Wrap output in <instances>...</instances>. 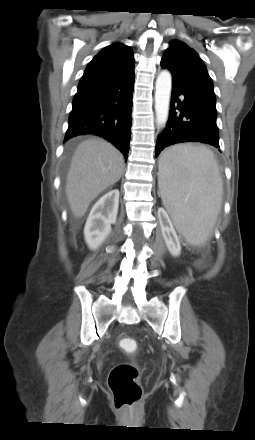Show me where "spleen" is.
<instances>
[{
	"label": "spleen",
	"mask_w": 255,
	"mask_h": 440,
	"mask_svg": "<svg viewBox=\"0 0 255 440\" xmlns=\"http://www.w3.org/2000/svg\"><path fill=\"white\" fill-rule=\"evenodd\" d=\"M159 188L176 229L192 245L205 243L223 198V183L213 152L204 146L176 145L159 164Z\"/></svg>",
	"instance_id": "spleen-1"
}]
</instances>
